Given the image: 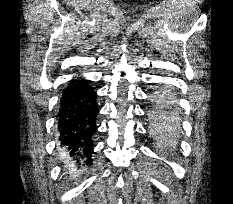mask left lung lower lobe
<instances>
[{
    "instance_id": "obj_1",
    "label": "left lung lower lobe",
    "mask_w": 233,
    "mask_h": 204,
    "mask_svg": "<svg viewBox=\"0 0 233 204\" xmlns=\"http://www.w3.org/2000/svg\"><path fill=\"white\" fill-rule=\"evenodd\" d=\"M163 105L168 106V105H166L164 102H163ZM164 109H167V107H164L162 110H164Z\"/></svg>"
}]
</instances>
